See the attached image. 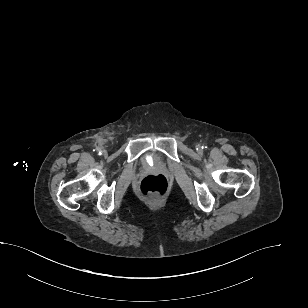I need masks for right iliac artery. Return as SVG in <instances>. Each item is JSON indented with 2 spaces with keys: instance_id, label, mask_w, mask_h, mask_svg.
Masks as SVG:
<instances>
[{
  "instance_id": "1",
  "label": "right iliac artery",
  "mask_w": 308,
  "mask_h": 308,
  "mask_svg": "<svg viewBox=\"0 0 308 308\" xmlns=\"http://www.w3.org/2000/svg\"><path fill=\"white\" fill-rule=\"evenodd\" d=\"M97 152H98L99 155H101L103 151L101 149L97 148Z\"/></svg>"
}]
</instances>
